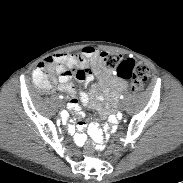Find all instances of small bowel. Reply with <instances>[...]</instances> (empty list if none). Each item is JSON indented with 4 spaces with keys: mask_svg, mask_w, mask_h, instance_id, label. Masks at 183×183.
I'll return each instance as SVG.
<instances>
[{
    "mask_svg": "<svg viewBox=\"0 0 183 183\" xmlns=\"http://www.w3.org/2000/svg\"><path fill=\"white\" fill-rule=\"evenodd\" d=\"M78 55L80 58L73 54H55L46 60L58 77V89L71 96L67 109L82 116L81 106H92L99 109L103 115L109 114L114 108L116 95L126 90V81L110 76L100 69L99 54L94 47H84ZM94 75L99 78V83L93 85L91 93L84 91L78 93L71 83V80L76 78L81 85L85 86L93 81ZM101 90L110 93V103L106 105V108H102L99 104L98 93ZM57 118L64 127H67L66 133L69 136L75 135V142L78 145H82L86 141L84 132L87 128L93 141L91 147L96 152H107L110 145L105 140H110L117 131V126L114 123H102L100 126L92 123L88 127L84 122H79L76 126L71 125L73 117L66 110H60L57 113ZM112 119L115 122H120L123 119V114L120 111H115L112 114Z\"/></svg>",
    "mask_w": 183,
    "mask_h": 183,
    "instance_id": "1",
    "label": "small bowel"
}]
</instances>
